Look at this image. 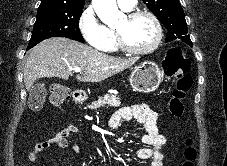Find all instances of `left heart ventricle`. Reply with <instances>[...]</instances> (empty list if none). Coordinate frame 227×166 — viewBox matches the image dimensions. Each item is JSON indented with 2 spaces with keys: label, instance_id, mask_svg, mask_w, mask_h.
<instances>
[{
  "label": "left heart ventricle",
  "instance_id": "1",
  "mask_svg": "<svg viewBox=\"0 0 227 166\" xmlns=\"http://www.w3.org/2000/svg\"><path fill=\"white\" fill-rule=\"evenodd\" d=\"M115 29L120 31L125 42L134 48L147 47L155 38V26L146 16L131 21L122 17Z\"/></svg>",
  "mask_w": 227,
  "mask_h": 166
}]
</instances>
